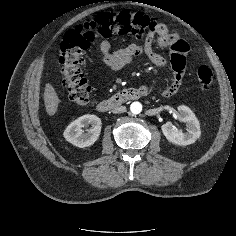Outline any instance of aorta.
Wrapping results in <instances>:
<instances>
[{
  "mask_svg": "<svg viewBox=\"0 0 236 236\" xmlns=\"http://www.w3.org/2000/svg\"><path fill=\"white\" fill-rule=\"evenodd\" d=\"M130 111L133 114H139L142 111V104L140 102H133L130 105Z\"/></svg>",
  "mask_w": 236,
  "mask_h": 236,
  "instance_id": "aorta-1",
  "label": "aorta"
}]
</instances>
